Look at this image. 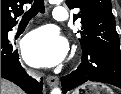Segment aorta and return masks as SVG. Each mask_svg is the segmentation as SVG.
<instances>
[{"label":"aorta","instance_id":"762f6f07","mask_svg":"<svg viewBox=\"0 0 121 94\" xmlns=\"http://www.w3.org/2000/svg\"><path fill=\"white\" fill-rule=\"evenodd\" d=\"M50 3H54V4H59L62 2V0H49ZM51 94H61V90L59 88H54L52 91H51Z\"/></svg>","mask_w":121,"mask_h":94}]
</instances>
